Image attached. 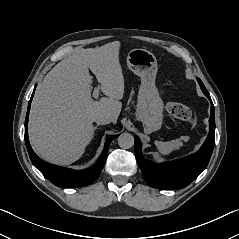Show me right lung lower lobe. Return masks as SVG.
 Listing matches in <instances>:
<instances>
[{
  "label": "right lung lower lobe",
  "instance_id": "right-lung-lower-lobe-1",
  "mask_svg": "<svg viewBox=\"0 0 239 239\" xmlns=\"http://www.w3.org/2000/svg\"><path fill=\"white\" fill-rule=\"evenodd\" d=\"M35 89L32 93L30 102L33 98ZM31 104L28 105L27 115L25 119V143L26 147L30 156V159L33 163V165L54 185L64 188H75V187H83L90 183H92L95 179H97L102 171V168L105 164L107 153H108V147L110 142L118 137V135L111 136L108 138L105 142L104 150L99 158V160L96 162L95 165L92 167L85 169V170H72L68 168H63L55 165L48 164L44 162L42 159H40L32 150L29 138H28V131H27V125H28V117H29V111H30Z\"/></svg>",
  "mask_w": 239,
  "mask_h": 239
}]
</instances>
